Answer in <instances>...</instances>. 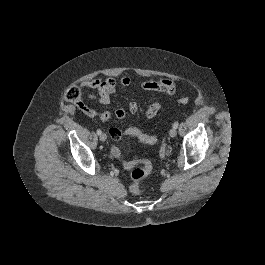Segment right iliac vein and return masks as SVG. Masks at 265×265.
I'll list each match as a JSON object with an SVG mask.
<instances>
[{
	"label": "right iliac vein",
	"mask_w": 265,
	"mask_h": 265,
	"mask_svg": "<svg viewBox=\"0 0 265 265\" xmlns=\"http://www.w3.org/2000/svg\"><path fill=\"white\" fill-rule=\"evenodd\" d=\"M99 138H100V140H101L102 142H104V141H106L107 136H106V134L101 133Z\"/></svg>",
	"instance_id": "obj_1"
}]
</instances>
